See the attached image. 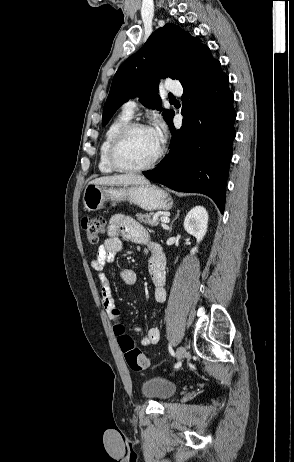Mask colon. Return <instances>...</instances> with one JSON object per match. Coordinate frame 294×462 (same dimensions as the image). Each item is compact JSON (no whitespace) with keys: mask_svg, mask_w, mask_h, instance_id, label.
<instances>
[{"mask_svg":"<svg viewBox=\"0 0 294 462\" xmlns=\"http://www.w3.org/2000/svg\"><path fill=\"white\" fill-rule=\"evenodd\" d=\"M82 230L89 244L95 245L106 230V221L101 217H84L81 221ZM116 312H119L118 309ZM114 332L128 366L134 371H142L149 365L148 359L136 347L133 339L126 334L121 323L114 324Z\"/></svg>","mask_w":294,"mask_h":462,"instance_id":"obj_1","label":"colon"}]
</instances>
